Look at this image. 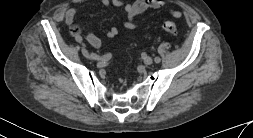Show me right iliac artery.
I'll list each match as a JSON object with an SVG mask.
<instances>
[{"label":"right iliac artery","mask_w":253,"mask_h":138,"mask_svg":"<svg viewBox=\"0 0 253 138\" xmlns=\"http://www.w3.org/2000/svg\"><path fill=\"white\" fill-rule=\"evenodd\" d=\"M74 40L79 43V44H83L84 43V40L79 36V35H76L74 37ZM92 58L94 59H103V60H109L111 58V54L110 53H107L105 55H103L102 57H99L97 56L96 54H90Z\"/></svg>","instance_id":"82829eb1"}]
</instances>
